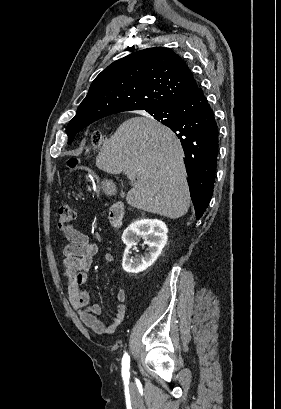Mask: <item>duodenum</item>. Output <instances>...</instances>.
Instances as JSON below:
<instances>
[{
  "label": "duodenum",
  "instance_id": "410a0bca",
  "mask_svg": "<svg viewBox=\"0 0 281 409\" xmlns=\"http://www.w3.org/2000/svg\"><path fill=\"white\" fill-rule=\"evenodd\" d=\"M124 204L122 202L114 203L109 209V221L115 228H119L123 223Z\"/></svg>",
  "mask_w": 281,
  "mask_h": 409
}]
</instances>
